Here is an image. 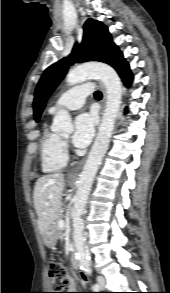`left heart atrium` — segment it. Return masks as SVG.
Here are the masks:
<instances>
[{"instance_id":"left-heart-atrium-1","label":"left heart atrium","mask_w":170,"mask_h":293,"mask_svg":"<svg viewBox=\"0 0 170 293\" xmlns=\"http://www.w3.org/2000/svg\"><path fill=\"white\" fill-rule=\"evenodd\" d=\"M95 132V118L92 114L83 113L76 117L71 141L78 148L86 147Z\"/></svg>"}]
</instances>
